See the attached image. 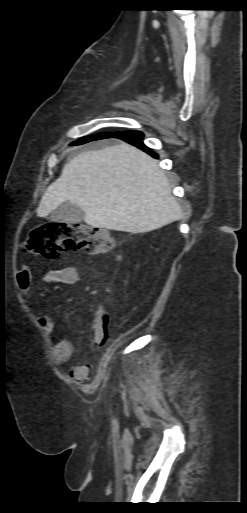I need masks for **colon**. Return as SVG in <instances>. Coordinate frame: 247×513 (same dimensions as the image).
Instances as JSON below:
<instances>
[{
    "label": "colon",
    "mask_w": 247,
    "mask_h": 513,
    "mask_svg": "<svg viewBox=\"0 0 247 513\" xmlns=\"http://www.w3.org/2000/svg\"><path fill=\"white\" fill-rule=\"evenodd\" d=\"M114 245L113 237L101 229L79 223L46 222L31 232L26 248L53 258L68 249L89 254L109 253ZM97 311L91 330V342L95 347L106 343L110 320L104 304H99Z\"/></svg>",
    "instance_id": "colon-1"
}]
</instances>
